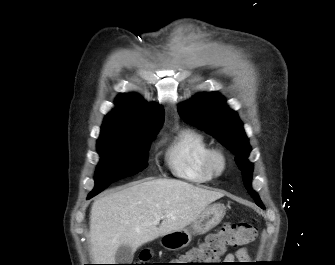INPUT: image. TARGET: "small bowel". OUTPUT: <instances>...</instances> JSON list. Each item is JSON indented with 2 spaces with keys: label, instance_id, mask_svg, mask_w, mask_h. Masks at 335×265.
I'll list each match as a JSON object with an SVG mask.
<instances>
[{
  "label": "small bowel",
  "instance_id": "small-bowel-1",
  "mask_svg": "<svg viewBox=\"0 0 335 265\" xmlns=\"http://www.w3.org/2000/svg\"><path fill=\"white\" fill-rule=\"evenodd\" d=\"M248 261L249 253L246 248H241L235 253H230L225 257L226 263H234V261Z\"/></svg>",
  "mask_w": 335,
  "mask_h": 265
}]
</instances>
